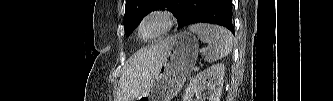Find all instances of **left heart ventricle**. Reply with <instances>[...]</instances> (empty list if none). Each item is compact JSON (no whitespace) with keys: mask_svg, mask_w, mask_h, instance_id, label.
Masks as SVG:
<instances>
[{"mask_svg":"<svg viewBox=\"0 0 333 101\" xmlns=\"http://www.w3.org/2000/svg\"><path fill=\"white\" fill-rule=\"evenodd\" d=\"M163 23L159 19H150L142 27L143 37H150L162 28Z\"/></svg>","mask_w":333,"mask_h":101,"instance_id":"left-heart-ventricle-1","label":"left heart ventricle"}]
</instances>
